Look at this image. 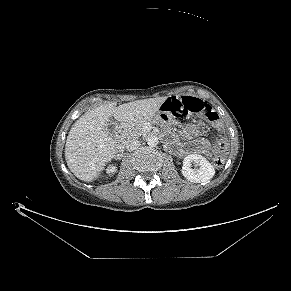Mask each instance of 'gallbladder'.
Here are the masks:
<instances>
[{
	"instance_id": "bac80fb5",
	"label": "gallbladder",
	"mask_w": 291,
	"mask_h": 291,
	"mask_svg": "<svg viewBox=\"0 0 291 291\" xmlns=\"http://www.w3.org/2000/svg\"><path fill=\"white\" fill-rule=\"evenodd\" d=\"M116 128H117V122H115L113 120H109L107 130H108V133L110 136L115 135Z\"/></svg>"
}]
</instances>
